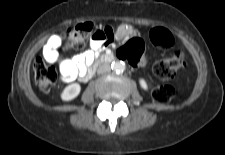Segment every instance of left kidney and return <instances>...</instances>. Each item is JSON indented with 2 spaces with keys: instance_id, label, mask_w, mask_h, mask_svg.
Returning <instances> with one entry per match:
<instances>
[{
  "instance_id": "1",
  "label": "left kidney",
  "mask_w": 225,
  "mask_h": 155,
  "mask_svg": "<svg viewBox=\"0 0 225 155\" xmlns=\"http://www.w3.org/2000/svg\"><path fill=\"white\" fill-rule=\"evenodd\" d=\"M139 83L143 89H145V90L147 89L148 86L144 79H140Z\"/></svg>"
}]
</instances>
